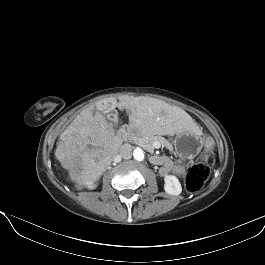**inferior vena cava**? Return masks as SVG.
Listing matches in <instances>:
<instances>
[{
  "instance_id": "obj_1",
  "label": "inferior vena cava",
  "mask_w": 265,
  "mask_h": 265,
  "mask_svg": "<svg viewBox=\"0 0 265 265\" xmlns=\"http://www.w3.org/2000/svg\"><path fill=\"white\" fill-rule=\"evenodd\" d=\"M119 154L122 158L128 159L132 156V148L131 145L126 143L123 144L119 150Z\"/></svg>"
}]
</instances>
